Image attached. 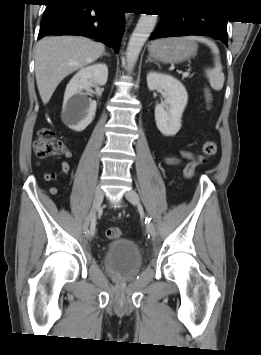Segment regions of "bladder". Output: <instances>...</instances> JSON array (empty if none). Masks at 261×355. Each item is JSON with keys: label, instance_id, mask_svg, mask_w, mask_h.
<instances>
[{"label": "bladder", "instance_id": "31cf9c89", "mask_svg": "<svg viewBox=\"0 0 261 355\" xmlns=\"http://www.w3.org/2000/svg\"><path fill=\"white\" fill-rule=\"evenodd\" d=\"M103 261L111 273L121 278L131 279L142 264V254L134 241L118 238L107 245Z\"/></svg>", "mask_w": 261, "mask_h": 355}]
</instances>
